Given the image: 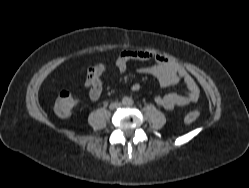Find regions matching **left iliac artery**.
Returning a JSON list of instances; mask_svg holds the SVG:
<instances>
[{"label":"left iliac artery","instance_id":"left-iliac-artery-1","mask_svg":"<svg viewBox=\"0 0 249 188\" xmlns=\"http://www.w3.org/2000/svg\"><path fill=\"white\" fill-rule=\"evenodd\" d=\"M130 104L132 105V104H133V101H130Z\"/></svg>","mask_w":249,"mask_h":188}]
</instances>
